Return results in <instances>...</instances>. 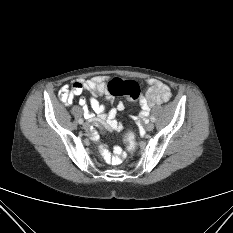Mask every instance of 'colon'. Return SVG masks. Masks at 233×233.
<instances>
[{
  "instance_id": "colon-1",
  "label": "colon",
  "mask_w": 233,
  "mask_h": 233,
  "mask_svg": "<svg viewBox=\"0 0 233 233\" xmlns=\"http://www.w3.org/2000/svg\"><path fill=\"white\" fill-rule=\"evenodd\" d=\"M108 90L113 96H125L131 102L136 101L140 96V87L136 81L113 78L108 82ZM125 142L130 152L135 151L137 142L134 135L128 132L125 135Z\"/></svg>"
}]
</instances>
